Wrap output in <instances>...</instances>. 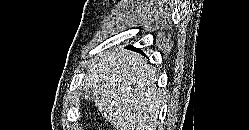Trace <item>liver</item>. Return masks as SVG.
<instances>
[{
	"mask_svg": "<svg viewBox=\"0 0 249 130\" xmlns=\"http://www.w3.org/2000/svg\"><path fill=\"white\" fill-rule=\"evenodd\" d=\"M156 82L154 67L124 49L95 60L83 81L92 89L99 112L116 130H156L161 107Z\"/></svg>",
	"mask_w": 249,
	"mask_h": 130,
	"instance_id": "obj_1",
	"label": "liver"
}]
</instances>
